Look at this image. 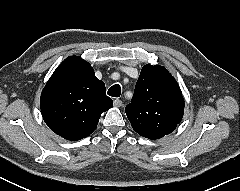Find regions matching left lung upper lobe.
I'll list each match as a JSON object with an SVG mask.
<instances>
[{"mask_svg":"<svg viewBox=\"0 0 240 191\" xmlns=\"http://www.w3.org/2000/svg\"><path fill=\"white\" fill-rule=\"evenodd\" d=\"M133 129L149 139L174 131L184 113V99L177 81L160 65H145L125 108Z\"/></svg>","mask_w":240,"mask_h":191,"instance_id":"1","label":"left lung upper lobe"}]
</instances>
